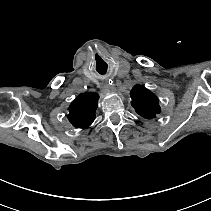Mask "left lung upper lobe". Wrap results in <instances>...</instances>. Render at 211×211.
<instances>
[{"mask_svg":"<svg viewBox=\"0 0 211 211\" xmlns=\"http://www.w3.org/2000/svg\"><path fill=\"white\" fill-rule=\"evenodd\" d=\"M131 104L142 117L152 119L160 113L158 97L142 85H136L130 92Z\"/></svg>","mask_w":211,"mask_h":211,"instance_id":"left-lung-upper-lobe-1","label":"left lung upper lobe"}]
</instances>
